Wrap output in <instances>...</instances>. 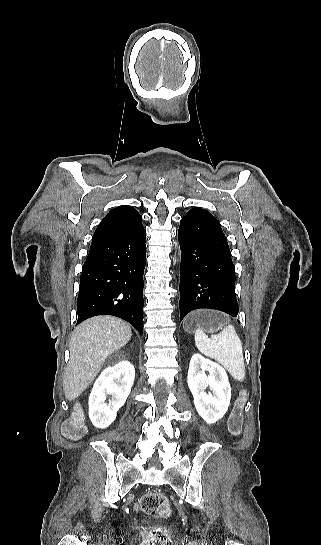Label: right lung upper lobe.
Here are the masks:
<instances>
[{
	"label": "right lung upper lobe",
	"instance_id": "cb5924a9",
	"mask_svg": "<svg viewBox=\"0 0 321 545\" xmlns=\"http://www.w3.org/2000/svg\"><path fill=\"white\" fill-rule=\"evenodd\" d=\"M141 216L136 209L122 205L112 209L97 227L92 244L126 234L141 226Z\"/></svg>",
	"mask_w": 321,
	"mask_h": 545
}]
</instances>
